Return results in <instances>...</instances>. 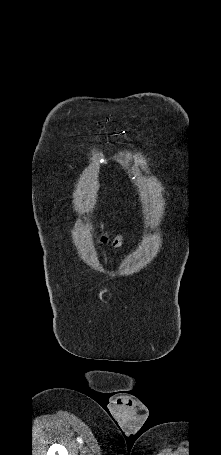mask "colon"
Returning <instances> with one entry per match:
<instances>
[{"label": "colon", "instance_id": "1", "mask_svg": "<svg viewBox=\"0 0 221 455\" xmlns=\"http://www.w3.org/2000/svg\"><path fill=\"white\" fill-rule=\"evenodd\" d=\"M103 239L105 240H108V235L105 233L103 234ZM112 243L115 245V246H119L121 244V239L119 236H115L112 238Z\"/></svg>", "mask_w": 221, "mask_h": 455}]
</instances>
